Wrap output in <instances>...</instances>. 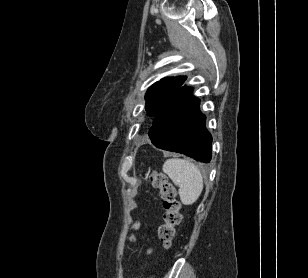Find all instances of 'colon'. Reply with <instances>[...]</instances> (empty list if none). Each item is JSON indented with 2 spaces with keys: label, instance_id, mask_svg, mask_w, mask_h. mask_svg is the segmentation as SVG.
<instances>
[{
  "label": "colon",
  "instance_id": "colon-1",
  "mask_svg": "<svg viewBox=\"0 0 308 278\" xmlns=\"http://www.w3.org/2000/svg\"><path fill=\"white\" fill-rule=\"evenodd\" d=\"M149 184L159 190L162 199L164 214L163 223L158 228V236L162 244L168 248L176 235V228L180 224L181 203L177 199V193L174 186L168 181L165 174L153 171L148 176ZM138 225L135 224L134 228Z\"/></svg>",
  "mask_w": 308,
  "mask_h": 278
}]
</instances>
